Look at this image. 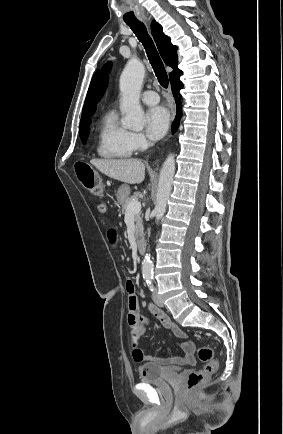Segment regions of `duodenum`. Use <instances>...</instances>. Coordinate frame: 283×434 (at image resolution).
Listing matches in <instances>:
<instances>
[{
    "instance_id": "duodenum-1",
    "label": "duodenum",
    "mask_w": 283,
    "mask_h": 434,
    "mask_svg": "<svg viewBox=\"0 0 283 434\" xmlns=\"http://www.w3.org/2000/svg\"><path fill=\"white\" fill-rule=\"evenodd\" d=\"M136 245L140 254H144L146 252V241L143 237H139L137 239Z\"/></svg>"
}]
</instances>
